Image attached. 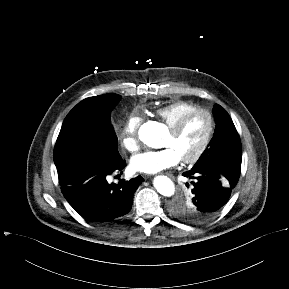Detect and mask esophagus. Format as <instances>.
I'll return each instance as SVG.
<instances>
[{"label":"esophagus","instance_id":"obj_1","mask_svg":"<svg viewBox=\"0 0 289 289\" xmlns=\"http://www.w3.org/2000/svg\"><path fill=\"white\" fill-rule=\"evenodd\" d=\"M169 177H173L172 174H167Z\"/></svg>","mask_w":289,"mask_h":289}]
</instances>
